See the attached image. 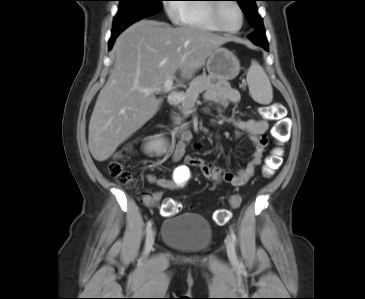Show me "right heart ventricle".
I'll return each instance as SVG.
<instances>
[{
	"label": "right heart ventricle",
	"mask_w": 365,
	"mask_h": 299,
	"mask_svg": "<svg viewBox=\"0 0 365 299\" xmlns=\"http://www.w3.org/2000/svg\"><path fill=\"white\" fill-rule=\"evenodd\" d=\"M185 1H212V0H185ZM210 3L180 4L176 21L180 25L195 27L204 30L217 31L211 20Z\"/></svg>",
	"instance_id": "right-heart-ventricle-1"
}]
</instances>
